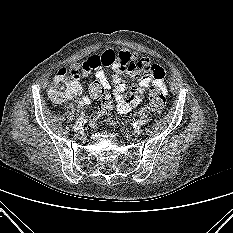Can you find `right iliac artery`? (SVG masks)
<instances>
[{"label":"right iliac artery","mask_w":233,"mask_h":233,"mask_svg":"<svg viewBox=\"0 0 233 233\" xmlns=\"http://www.w3.org/2000/svg\"><path fill=\"white\" fill-rule=\"evenodd\" d=\"M82 116H83V114H81V117L78 119L76 124L72 127L73 131H78V130L82 129V119H83Z\"/></svg>","instance_id":"82829eb1"}]
</instances>
